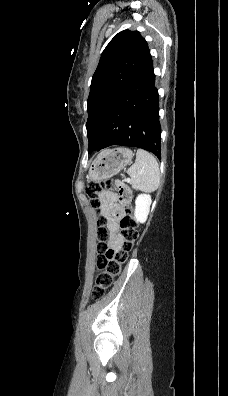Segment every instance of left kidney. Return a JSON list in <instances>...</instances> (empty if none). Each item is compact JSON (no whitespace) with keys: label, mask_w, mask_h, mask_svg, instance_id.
<instances>
[{"label":"left kidney","mask_w":228,"mask_h":396,"mask_svg":"<svg viewBox=\"0 0 228 396\" xmlns=\"http://www.w3.org/2000/svg\"><path fill=\"white\" fill-rule=\"evenodd\" d=\"M151 196L149 194H139L135 200V210H134V219L136 222L144 223L147 220L150 205H151Z\"/></svg>","instance_id":"obj_1"}]
</instances>
